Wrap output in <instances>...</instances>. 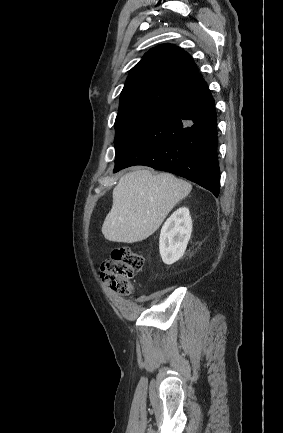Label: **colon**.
<instances>
[{"label": "colon", "instance_id": "obj_1", "mask_svg": "<svg viewBox=\"0 0 283 433\" xmlns=\"http://www.w3.org/2000/svg\"><path fill=\"white\" fill-rule=\"evenodd\" d=\"M144 257L128 247L116 248L101 265V279L121 295H129L133 288L130 280L142 270Z\"/></svg>", "mask_w": 283, "mask_h": 433}]
</instances>
